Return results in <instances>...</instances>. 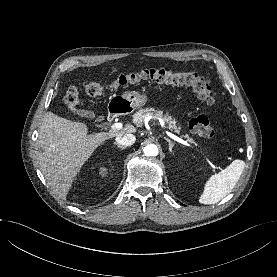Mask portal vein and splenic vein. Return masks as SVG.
<instances>
[{
	"instance_id": "portal-vein-and-splenic-vein-1",
	"label": "portal vein and splenic vein",
	"mask_w": 277,
	"mask_h": 277,
	"mask_svg": "<svg viewBox=\"0 0 277 277\" xmlns=\"http://www.w3.org/2000/svg\"><path fill=\"white\" fill-rule=\"evenodd\" d=\"M123 125L121 123H114L112 126H111V130L112 131H116V130H120L122 129ZM166 134L172 138L173 140L181 143V144H184L186 146H189V144L187 143V141H184L183 139L177 137L176 135L172 134L171 132H168L166 131Z\"/></svg>"
}]
</instances>
